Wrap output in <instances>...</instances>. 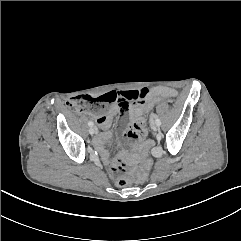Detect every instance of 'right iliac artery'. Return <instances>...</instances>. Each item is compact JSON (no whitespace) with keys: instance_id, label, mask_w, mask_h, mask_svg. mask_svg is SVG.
Returning <instances> with one entry per match:
<instances>
[{"instance_id":"obj_1","label":"right iliac artery","mask_w":241,"mask_h":241,"mask_svg":"<svg viewBox=\"0 0 241 241\" xmlns=\"http://www.w3.org/2000/svg\"><path fill=\"white\" fill-rule=\"evenodd\" d=\"M88 125H89L90 127H92L94 124H93L92 121H89V122H88Z\"/></svg>"}]
</instances>
